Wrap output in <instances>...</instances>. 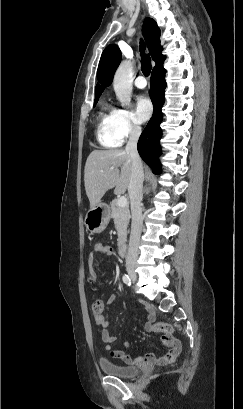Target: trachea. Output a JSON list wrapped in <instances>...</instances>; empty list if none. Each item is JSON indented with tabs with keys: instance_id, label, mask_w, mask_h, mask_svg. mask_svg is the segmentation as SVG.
Returning a JSON list of instances; mask_svg holds the SVG:
<instances>
[{
	"instance_id": "3493384b",
	"label": "trachea",
	"mask_w": 243,
	"mask_h": 409,
	"mask_svg": "<svg viewBox=\"0 0 243 409\" xmlns=\"http://www.w3.org/2000/svg\"><path fill=\"white\" fill-rule=\"evenodd\" d=\"M146 50V46L144 44V42L141 40L140 41V55H141V63H142V72L145 76H149L150 75V71H151V58L150 55L148 53H145Z\"/></svg>"
}]
</instances>
